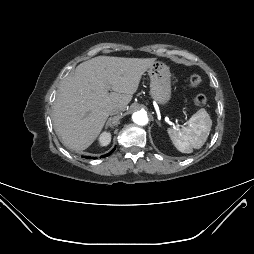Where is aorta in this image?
<instances>
[{
    "label": "aorta",
    "instance_id": "obj_1",
    "mask_svg": "<svg viewBox=\"0 0 254 254\" xmlns=\"http://www.w3.org/2000/svg\"><path fill=\"white\" fill-rule=\"evenodd\" d=\"M132 119L138 125H146L148 123V117L145 111L133 113Z\"/></svg>",
    "mask_w": 254,
    "mask_h": 254
}]
</instances>
